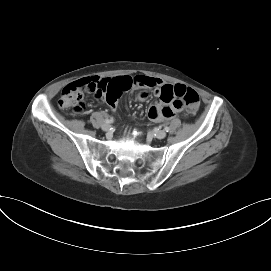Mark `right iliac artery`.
I'll return each mask as SVG.
<instances>
[{"instance_id":"obj_1","label":"right iliac artery","mask_w":271,"mask_h":271,"mask_svg":"<svg viewBox=\"0 0 271 271\" xmlns=\"http://www.w3.org/2000/svg\"><path fill=\"white\" fill-rule=\"evenodd\" d=\"M114 120H113V118H110V119H105V123H107V124H109V123H112Z\"/></svg>"}]
</instances>
